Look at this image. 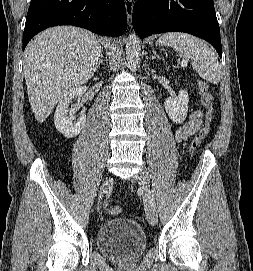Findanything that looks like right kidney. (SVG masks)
<instances>
[{"label":"right kidney","instance_id":"right-kidney-1","mask_svg":"<svg viewBox=\"0 0 253 271\" xmlns=\"http://www.w3.org/2000/svg\"><path fill=\"white\" fill-rule=\"evenodd\" d=\"M86 90V86H78L71 89L57 105L54 115V124L56 129L66 138L76 137L86 122V116L84 114H81L77 122H74L73 112L75 109L69 108V102L74 98L81 97L85 94Z\"/></svg>","mask_w":253,"mask_h":271}]
</instances>
